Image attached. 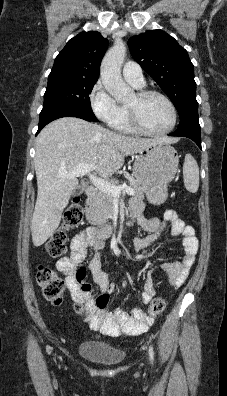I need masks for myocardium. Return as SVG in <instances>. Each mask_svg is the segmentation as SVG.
Listing matches in <instances>:
<instances>
[{
	"label": "myocardium",
	"instance_id": "f54148a6",
	"mask_svg": "<svg viewBox=\"0 0 227 396\" xmlns=\"http://www.w3.org/2000/svg\"><path fill=\"white\" fill-rule=\"evenodd\" d=\"M136 95L139 98H145V97L151 96V95L159 96L160 98H162L166 102V104L168 105V107L170 109L171 123L166 129H164L162 131H150L142 125L137 111L133 107L127 106L129 121H130L131 126L134 128V130L138 133L143 134V135L153 136V137L165 136V135L171 133L174 130V128L177 124V119H178L177 109H176L174 103L172 102V100L165 93L158 91V90H154V89H143V90L138 91Z\"/></svg>",
	"mask_w": 227,
	"mask_h": 396
}]
</instances>
